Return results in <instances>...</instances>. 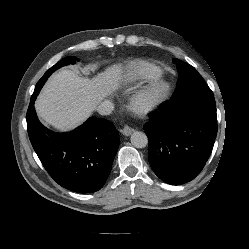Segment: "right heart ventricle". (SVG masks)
Listing matches in <instances>:
<instances>
[{
    "label": "right heart ventricle",
    "mask_w": 249,
    "mask_h": 249,
    "mask_svg": "<svg viewBox=\"0 0 249 249\" xmlns=\"http://www.w3.org/2000/svg\"><path fill=\"white\" fill-rule=\"evenodd\" d=\"M162 76V70L149 62L136 61L130 67L125 76L126 82L150 81Z\"/></svg>",
    "instance_id": "obj_1"
}]
</instances>
